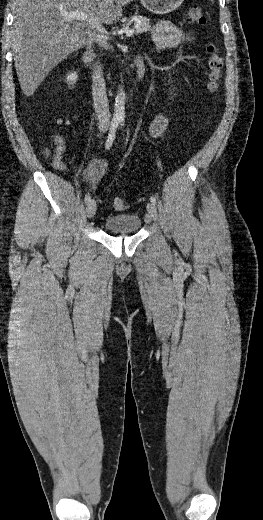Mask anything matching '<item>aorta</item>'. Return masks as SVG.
Returning <instances> with one entry per match:
<instances>
[{
  "instance_id": "obj_1",
  "label": "aorta",
  "mask_w": 263,
  "mask_h": 520,
  "mask_svg": "<svg viewBox=\"0 0 263 520\" xmlns=\"http://www.w3.org/2000/svg\"><path fill=\"white\" fill-rule=\"evenodd\" d=\"M113 117L117 121H123L125 118V93L122 89L115 97Z\"/></svg>"
}]
</instances>
